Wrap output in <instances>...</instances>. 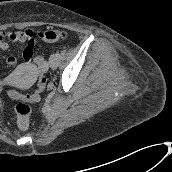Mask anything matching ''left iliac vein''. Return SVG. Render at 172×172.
Wrapping results in <instances>:
<instances>
[{"instance_id": "obj_1", "label": "left iliac vein", "mask_w": 172, "mask_h": 172, "mask_svg": "<svg viewBox=\"0 0 172 172\" xmlns=\"http://www.w3.org/2000/svg\"><path fill=\"white\" fill-rule=\"evenodd\" d=\"M57 60H58V57L55 54L50 56L49 58L50 68L55 69L57 67Z\"/></svg>"}]
</instances>
